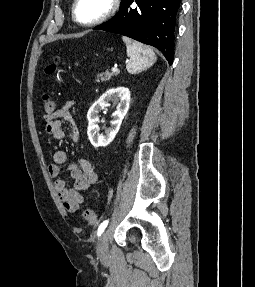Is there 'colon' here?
I'll use <instances>...</instances> for the list:
<instances>
[{
	"label": "colon",
	"instance_id": "1",
	"mask_svg": "<svg viewBox=\"0 0 255 287\" xmlns=\"http://www.w3.org/2000/svg\"><path fill=\"white\" fill-rule=\"evenodd\" d=\"M58 62H59L58 57H54L53 60L46 66L45 74L47 77H52L57 73ZM43 105L47 113H53L55 111V108H56L55 101L48 94H45L43 96ZM82 215H83V218L91 225H96L99 222V217L90 208L84 209Z\"/></svg>",
	"mask_w": 255,
	"mask_h": 287
}]
</instances>
